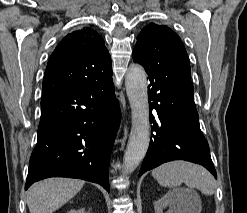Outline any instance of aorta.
Masks as SVG:
<instances>
[{"label": "aorta", "mask_w": 247, "mask_h": 213, "mask_svg": "<svg viewBox=\"0 0 247 213\" xmlns=\"http://www.w3.org/2000/svg\"><path fill=\"white\" fill-rule=\"evenodd\" d=\"M125 87L132 113V128L123 158L124 173L128 174L143 160L150 141L147 75L141 65H130Z\"/></svg>", "instance_id": "1"}]
</instances>
